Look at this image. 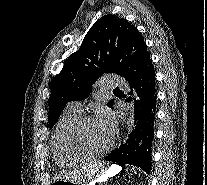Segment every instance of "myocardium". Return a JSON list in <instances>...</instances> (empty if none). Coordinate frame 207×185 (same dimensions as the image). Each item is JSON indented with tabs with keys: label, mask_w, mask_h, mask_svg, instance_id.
<instances>
[{
	"label": "myocardium",
	"mask_w": 207,
	"mask_h": 185,
	"mask_svg": "<svg viewBox=\"0 0 207 185\" xmlns=\"http://www.w3.org/2000/svg\"><path fill=\"white\" fill-rule=\"evenodd\" d=\"M93 120V117L91 116H86L81 119H79L76 124L74 125L71 133V139L73 145L78 149L79 151L91 156V157H100L108 154L112 148L115 145V135H112L111 140L109 145L100 151L92 150L91 148L88 147V145L84 142L83 137H82V132L84 129V126Z\"/></svg>",
	"instance_id": "obj_1"
}]
</instances>
